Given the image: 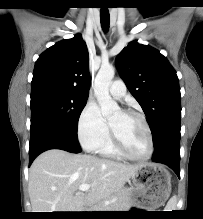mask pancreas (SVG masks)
<instances>
[{"instance_id": "pancreas-1", "label": "pancreas", "mask_w": 203, "mask_h": 219, "mask_svg": "<svg viewBox=\"0 0 203 219\" xmlns=\"http://www.w3.org/2000/svg\"><path fill=\"white\" fill-rule=\"evenodd\" d=\"M130 194V189H121L114 194L110 203L99 202L93 206V211H125L130 207Z\"/></svg>"}]
</instances>
